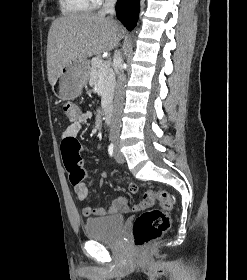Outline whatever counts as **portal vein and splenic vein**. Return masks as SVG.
Returning <instances> with one entry per match:
<instances>
[{
	"label": "portal vein and splenic vein",
	"mask_w": 247,
	"mask_h": 280,
	"mask_svg": "<svg viewBox=\"0 0 247 280\" xmlns=\"http://www.w3.org/2000/svg\"><path fill=\"white\" fill-rule=\"evenodd\" d=\"M110 65H109V62H103L102 64H101V70H105V69H107L108 67H109Z\"/></svg>",
	"instance_id": "18ae733b"
}]
</instances>
